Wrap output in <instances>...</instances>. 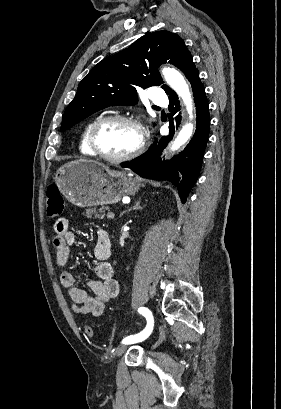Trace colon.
Masks as SVG:
<instances>
[{
	"label": "colon",
	"mask_w": 281,
	"mask_h": 409,
	"mask_svg": "<svg viewBox=\"0 0 281 409\" xmlns=\"http://www.w3.org/2000/svg\"><path fill=\"white\" fill-rule=\"evenodd\" d=\"M47 215L51 219L58 218L64 210V201L57 186H51L47 190ZM86 335L92 334L91 328L85 329Z\"/></svg>",
	"instance_id": "5ec220e1"
}]
</instances>
